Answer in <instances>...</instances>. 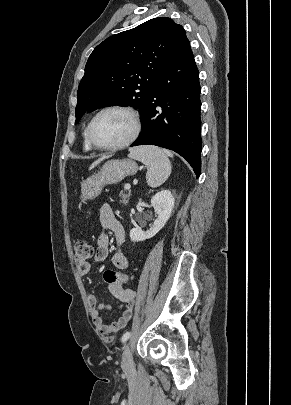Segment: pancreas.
Listing matches in <instances>:
<instances>
[{"instance_id":"pancreas-1","label":"pancreas","mask_w":291,"mask_h":405,"mask_svg":"<svg viewBox=\"0 0 291 405\" xmlns=\"http://www.w3.org/2000/svg\"><path fill=\"white\" fill-rule=\"evenodd\" d=\"M119 197H121L120 203L127 205L129 203L130 193H126L125 190H122L119 194Z\"/></svg>"}]
</instances>
